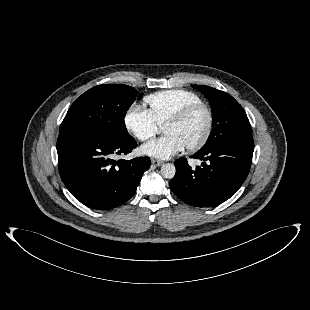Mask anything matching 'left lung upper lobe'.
Instances as JSON below:
<instances>
[{"instance_id":"5c2ea615","label":"left lung upper lobe","mask_w":310,"mask_h":310,"mask_svg":"<svg viewBox=\"0 0 310 310\" xmlns=\"http://www.w3.org/2000/svg\"><path fill=\"white\" fill-rule=\"evenodd\" d=\"M192 87L207 97L212 108L211 134L200 151L240 137L251 136L247 115L231 95L209 86L192 85Z\"/></svg>"}]
</instances>
